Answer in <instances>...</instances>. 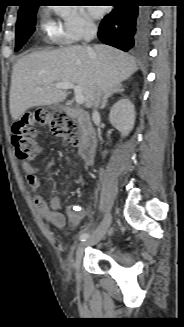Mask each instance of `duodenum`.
<instances>
[{"label":"duodenum","mask_w":184,"mask_h":327,"mask_svg":"<svg viewBox=\"0 0 184 327\" xmlns=\"http://www.w3.org/2000/svg\"><path fill=\"white\" fill-rule=\"evenodd\" d=\"M63 111L77 120L83 133V139L79 145V154L84 163L91 164L95 157L97 138L90 115L85 110L70 106H64Z\"/></svg>","instance_id":"obj_1"}]
</instances>
